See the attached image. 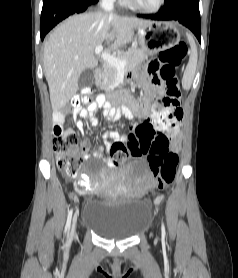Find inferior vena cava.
<instances>
[{"mask_svg": "<svg viewBox=\"0 0 238 278\" xmlns=\"http://www.w3.org/2000/svg\"><path fill=\"white\" fill-rule=\"evenodd\" d=\"M114 2L115 0H102L101 1V7L107 12H111L114 8Z\"/></svg>", "mask_w": 238, "mask_h": 278, "instance_id": "1", "label": "inferior vena cava"}]
</instances>
